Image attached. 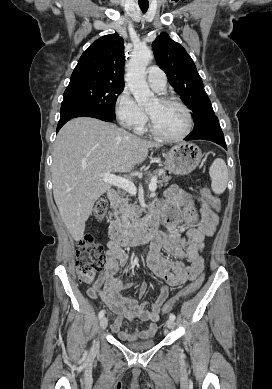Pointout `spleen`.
I'll return each mask as SVG.
<instances>
[{
  "label": "spleen",
  "mask_w": 272,
  "mask_h": 389,
  "mask_svg": "<svg viewBox=\"0 0 272 389\" xmlns=\"http://www.w3.org/2000/svg\"><path fill=\"white\" fill-rule=\"evenodd\" d=\"M212 191L219 195L222 194L228 183V170L223 159L217 158L213 161L209 169Z\"/></svg>",
  "instance_id": "1"
}]
</instances>
